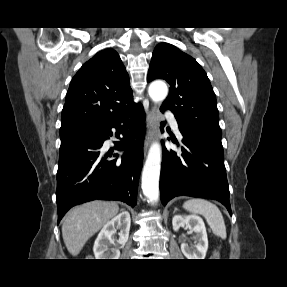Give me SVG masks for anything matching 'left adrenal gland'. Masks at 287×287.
Wrapping results in <instances>:
<instances>
[{
  "instance_id": "left-adrenal-gland-1",
  "label": "left adrenal gland",
  "mask_w": 287,
  "mask_h": 287,
  "mask_svg": "<svg viewBox=\"0 0 287 287\" xmlns=\"http://www.w3.org/2000/svg\"><path fill=\"white\" fill-rule=\"evenodd\" d=\"M177 210H178V209L175 207V208H174V213H175Z\"/></svg>"
}]
</instances>
